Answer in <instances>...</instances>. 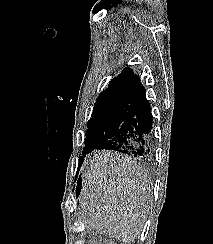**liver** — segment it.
<instances>
[{
	"label": "liver",
	"mask_w": 213,
	"mask_h": 244,
	"mask_svg": "<svg viewBox=\"0 0 213 244\" xmlns=\"http://www.w3.org/2000/svg\"><path fill=\"white\" fill-rule=\"evenodd\" d=\"M149 172L127 155L100 151L82 175L80 204L89 230L129 243L142 231L152 204Z\"/></svg>",
	"instance_id": "obj_1"
}]
</instances>
